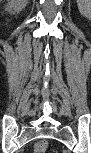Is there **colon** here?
<instances>
[{
  "mask_svg": "<svg viewBox=\"0 0 91 153\" xmlns=\"http://www.w3.org/2000/svg\"><path fill=\"white\" fill-rule=\"evenodd\" d=\"M48 149V142L45 140L39 141L35 144L33 152L34 153H45Z\"/></svg>",
  "mask_w": 91,
  "mask_h": 153,
  "instance_id": "1",
  "label": "colon"
}]
</instances>
